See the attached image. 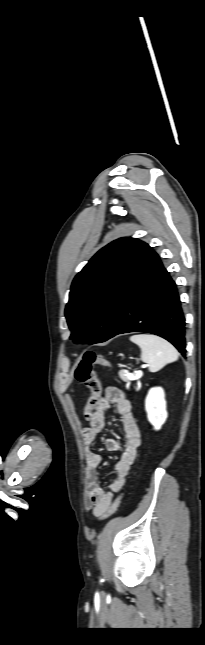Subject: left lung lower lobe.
<instances>
[{"label": "left lung lower lobe", "instance_id": "obj_1", "mask_svg": "<svg viewBox=\"0 0 205 645\" xmlns=\"http://www.w3.org/2000/svg\"><path fill=\"white\" fill-rule=\"evenodd\" d=\"M129 332L158 335L186 355L185 318L177 286L157 253L146 243L123 286L116 320L105 341Z\"/></svg>", "mask_w": 205, "mask_h": 645}]
</instances>
